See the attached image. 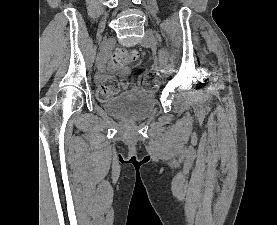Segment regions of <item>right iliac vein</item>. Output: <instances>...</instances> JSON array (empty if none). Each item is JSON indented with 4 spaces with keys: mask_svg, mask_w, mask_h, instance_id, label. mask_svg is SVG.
<instances>
[{
    "mask_svg": "<svg viewBox=\"0 0 277 225\" xmlns=\"http://www.w3.org/2000/svg\"><path fill=\"white\" fill-rule=\"evenodd\" d=\"M114 45H115V39L110 38L101 47V50H100V52L98 53V56H97V67L98 68H101V67L104 66V64L106 63L107 58L109 56V53L113 49Z\"/></svg>",
    "mask_w": 277,
    "mask_h": 225,
    "instance_id": "63e3f726",
    "label": "right iliac vein"
}]
</instances>
